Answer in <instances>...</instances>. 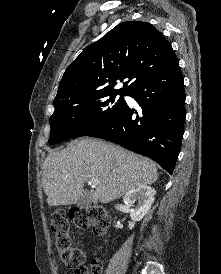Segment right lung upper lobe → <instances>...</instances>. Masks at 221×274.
Masks as SVG:
<instances>
[{
	"label": "right lung upper lobe",
	"instance_id": "right-lung-upper-lobe-1",
	"mask_svg": "<svg viewBox=\"0 0 221 274\" xmlns=\"http://www.w3.org/2000/svg\"><path fill=\"white\" fill-rule=\"evenodd\" d=\"M177 61L171 44L153 25L123 22L87 46L68 66L54 104L105 93L129 94ZM125 79L122 88L113 89Z\"/></svg>",
	"mask_w": 221,
	"mask_h": 274
}]
</instances>
